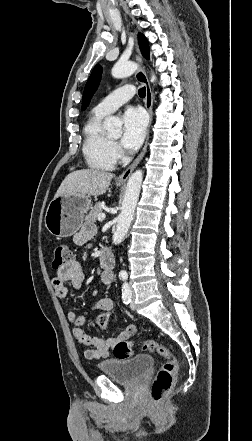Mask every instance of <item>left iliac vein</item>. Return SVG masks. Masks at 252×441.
Wrapping results in <instances>:
<instances>
[{
    "label": "left iliac vein",
    "instance_id": "4c4485c4",
    "mask_svg": "<svg viewBox=\"0 0 252 441\" xmlns=\"http://www.w3.org/2000/svg\"><path fill=\"white\" fill-rule=\"evenodd\" d=\"M130 291H131V296H132V300H131V303H130V307H131L132 310H134V309H135V304H134V292H133L132 288H130Z\"/></svg>",
    "mask_w": 252,
    "mask_h": 441
}]
</instances>
